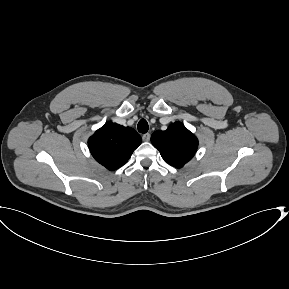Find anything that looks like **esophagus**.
<instances>
[{
	"instance_id": "1",
	"label": "esophagus",
	"mask_w": 289,
	"mask_h": 289,
	"mask_svg": "<svg viewBox=\"0 0 289 289\" xmlns=\"http://www.w3.org/2000/svg\"><path fill=\"white\" fill-rule=\"evenodd\" d=\"M143 141L148 142L150 140V134L146 133L142 136Z\"/></svg>"
}]
</instances>
